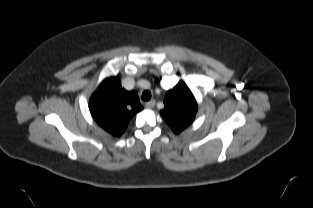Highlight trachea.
<instances>
[{"label": "trachea", "instance_id": "1", "mask_svg": "<svg viewBox=\"0 0 313 208\" xmlns=\"http://www.w3.org/2000/svg\"><path fill=\"white\" fill-rule=\"evenodd\" d=\"M142 99L144 101H149L151 99V93L150 91L148 90H145L143 93H142Z\"/></svg>", "mask_w": 313, "mask_h": 208}]
</instances>
